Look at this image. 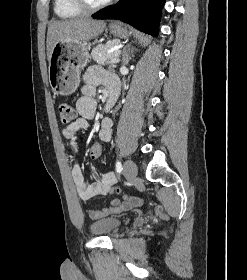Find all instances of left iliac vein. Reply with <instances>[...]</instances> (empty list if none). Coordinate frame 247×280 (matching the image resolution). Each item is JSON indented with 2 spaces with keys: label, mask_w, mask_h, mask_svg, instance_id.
<instances>
[{
  "label": "left iliac vein",
  "mask_w": 247,
  "mask_h": 280,
  "mask_svg": "<svg viewBox=\"0 0 247 280\" xmlns=\"http://www.w3.org/2000/svg\"><path fill=\"white\" fill-rule=\"evenodd\" d=\"M123 173L128 179L135 178L137 176V173H138V169H137L136 164L131 160H127L124 164Z\"/></svg>",
  "instance_id": "left-iliac-vein-1"
}]
</instances>
